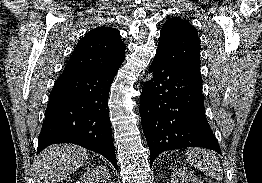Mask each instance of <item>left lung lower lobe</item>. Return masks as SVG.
<instances>
[{"label": "left lung lower lobe", "instance_id": "left-lung-lower-lobe-1", "mask_svg": "<svg viewBox=\"0 0 262 183\" xmlns=\"http://www.w3.org/2000/svg\"><path fill=\"white\" fill-rule=\"evenodd\" d=\"M140 97L150 163L162 152L187 147L221 150L205 116L201 74L155 56Z\"/></svg>", "mask_w": 262, "mask_h": 183}]
</instances>
